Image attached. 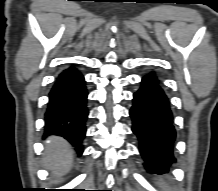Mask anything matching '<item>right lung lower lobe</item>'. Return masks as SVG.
<instances>
[{"instance_id":"obj_1","label":"right lung lower lobe","mask_w":218,"mask_h":191,"mask_svg":"<svg viewBox=\"0 0 218 191\" xmlns=\"http://www.w3.org/2000/svg\"><path fill=\"white\" fill-rule=\"evenodd\" d=\"M88 92L83 75L74 67L63 70L50 93L45 113V134L67 139L79 155L83 153L88 117Z\"/></svg>"}]
</instances>
